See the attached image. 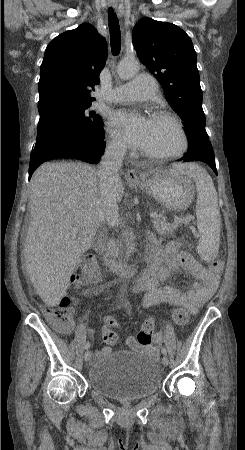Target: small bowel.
Segmentation results:
<instances>
[{
    "label": "small bowel",
    "mask_w": 245,
    "mask_h": 450,
    "mask_svg": "<svg viewBox=\"0 0 245 450\" xmlns=\"http://www.w3.org/2000/svg\"><path fill=\"white\" fill-rule=\"evenodd\" d=\"M149 265L135 280L134 292L143 294L141 305L151 307L160 303H167L176 306H184L191 314L198 313L199 308L210 298L217 289L219 283V270L202 267L190 254L183 250L182 243L169 241L160 245L156 236L150 234L147 240L146 249ZM184 270L193 276L197 282L193 288L183 290L178 288L173 282V276ZM103 287L89 288L83 291V295L90 297L99 294ZM121 307V304H116ZM116 323L113 328H116ZM90 330V333H94ZM154 344L160 347L163 342L162 333L157 331L154 336ZM130 348H136L137 342L133 336L126 340ZM112 348L104 346L98 354H110Z\"/></svg>",
    "instance_id": "c3829d8e"
}]
</instances>
